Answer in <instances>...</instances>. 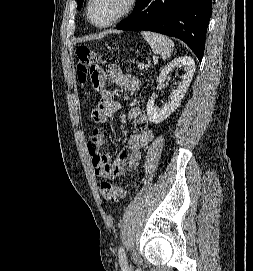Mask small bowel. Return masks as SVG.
Listing matches in <instances>:
<instances>
[{
	"instance_id": "small-bowel-1",
	"label": "small bowel",
	"mask_w": 253,
	"mask_h": 271,
	"mask_svg": "<svg viewBox=\"0 0 253 271\" xmlns=\"http://www.w3.org/2000/svg\"><path fill=\"white\" fill-rule=\"evenodd\" d=\"M98 76L99 100L91 111V118L96 123L107 124L121 109V104L114 99L112 91L107 87V81L130 92L136 91L140 83L137 77L124 74L115 65H108L105 70L99 68ZM127 116L134 120L137 132L128 138L125 147L114 160L101 152L105 144V134L101 129L95 128L86 143L87 154L98 177L114 179L126 170L134 169L141 158L140 150L154 138V132L148 125V118L139 107H132Z\"/></svg>"
}]
</instances>
